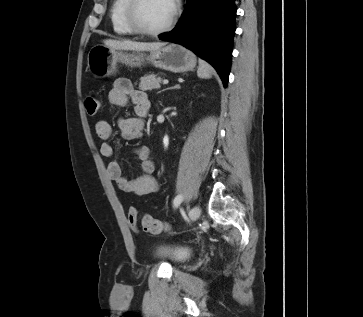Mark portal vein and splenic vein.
<instances>
[{
  "label": "portal vein and splenic vein",
  "mask_w": 363,
  "mask_h": 317,
  "mask_svg": "<svg viewBox=\"0 0 363 317\" xmlns=\"http://www.w3.org/2000/svg\"><path fill=\"white\" fill-rule=\"evenodd\" d=\"M168 80L167 79H165V80H163V84H168Z\"/></svg>",
  "instance_id": "portal-vein-and-splenic-vein-1"
}]
</instances>
